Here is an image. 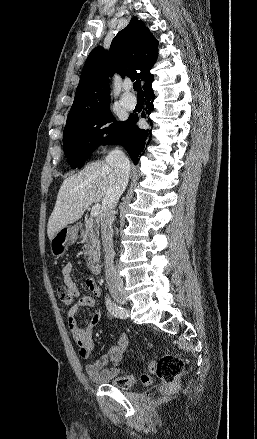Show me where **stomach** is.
Wrapping results in <instances>:
<instances>
[{
	"instance_id": "obj_1",
	"label": "stomach",
	"mask_w": 257,
	"mask_h": 439,
	"mask_svg": "<svg viewBox=\"0 0 257 439\" xmlns=\"http://www.w3.org/2000/svg\"><path fill=\"white\" fill-rule=\"evenodd\" d=\"M78 237L76 226H64L50 240V250L53 256L61 257L64 255L68 246L72 245Z\"/></svg>"
}]
</instances>
